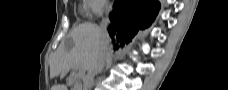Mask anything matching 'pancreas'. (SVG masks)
I'll use <instances>...</instances> for the list:
<instances>
[{"label":"pancreas","instance_id":"1","mask_svg":"<svg viewBox=\"0 0 228 90\" xmlns=\"http://www.w3.org/2000/svg\"><path fill=\"white\" fill-rule=\"evenodd\" d=\"M80 87V85H77V88H79Z\"/></svg>","mask_w":228,"mask_h":90}]
</instances>
